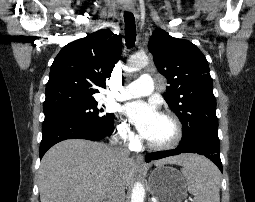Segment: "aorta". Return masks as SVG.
Listing matches in <instances>:
<instances>
[{
    "instance_id": "1",
    "label": "aorta",
    "mask_w": 255,
    "mask_h": 202,
    "mask_svg": "<svg viewBox=\"0 0 255 202\" xmlns=\"http://www.w3.org/2000/svg\"><path fill=\"white\" fill-rule=\"evenodd\" d=\"M149 63V58L145 54L132 55L128 61V70L130 72L138 71L146 67ZM145 189L143 185L137 182L132 190L131 202H144Z\"/></svg>"
}]
</instances>
